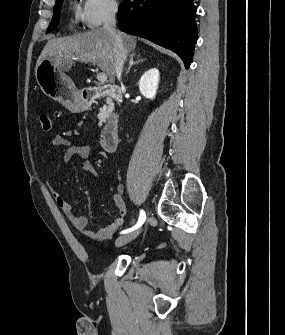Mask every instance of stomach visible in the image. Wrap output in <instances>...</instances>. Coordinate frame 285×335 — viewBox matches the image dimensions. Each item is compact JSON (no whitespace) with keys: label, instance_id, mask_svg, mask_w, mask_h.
I'll list each match as a JSON object with an SVG mask.
<instances>
[{"label":"stomach","instance_id":"1","mask_svg":"<svg viewBox=\"0 0 285 335\" xmlns=\"http://www.w3.org/2000/svg\"><path fill=\"white\" fill-rule=\"evenodd\" d=\"M35 78L46 96L68 106L69 110H73V112L82 110L84 102L79 90L75 88L72 80L61 72L53 60L50 58L41 60L40 64L36 66Z\"/></svg>","mask_w":285,"mask_h":335}]
</instances>
